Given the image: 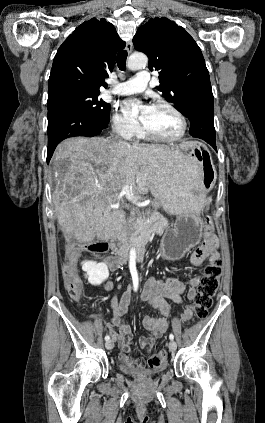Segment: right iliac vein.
Returning a JSON list of instances; mask_svg holds the SVG:
<instances>
[{"mask_svg":"<svg viewBox=\"0 0 265 423\" xmlns=\"http://www.w3.org/2000/svg\"><path fill=\"white\" fill-rule=\"evenodd\" d=\"M105 347H106V349L111 350L114 347V340H108L105 343Z\"/></svg>","mask_w":265,"mask_h":423,"instance_id":"63e3f726","label":"right iliac vein"}]
</instances>
